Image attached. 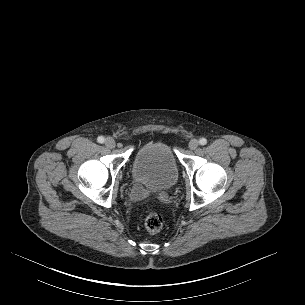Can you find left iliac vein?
I'll list each match as a JSON object with an SVG mask.
<instances>
[{"mask_svg":"<svg viewBox=\"0 0 305 305\" xmlns=\"http://www.w3.org/2000/svg\"><path fill=\"white\" fill-rule=\"evenodd\" d=\"M188 146L191 150H195L199 146V141L197 139H192L190 140Z\"/></svg>","mask_w":305,"mask_h":305,"instance_id":"1","label":"left iliac vein"}]
</instances>
